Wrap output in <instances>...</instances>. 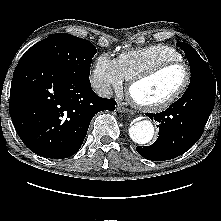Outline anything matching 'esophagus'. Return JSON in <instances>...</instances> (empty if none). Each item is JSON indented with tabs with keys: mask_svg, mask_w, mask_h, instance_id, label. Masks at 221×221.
Returning <instances> with one entry per match:
<instances>
[{
	"mask_svg": "<svg viewBox=\"0 0 221 221\" xmlns=\"http://www.w3.org/2000/svg\"><path fill=\"white\" fill-rule=\"evenodd\" d=\"M116 110H117L118 112H121V113H130V114H133V112H132L131 110H129L128 108L124 107L121 103H118V104H117Z\"/></svg>",
	"mask_w": 221,
	"mask_h": 221,
	"instance_id": "esophagus-1",
	"label": "esophagus"
}]
</instances>
